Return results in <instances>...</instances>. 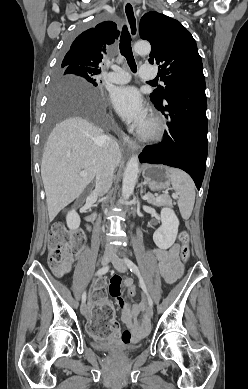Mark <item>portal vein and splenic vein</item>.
<instances>
[{"mask_svg":"<svg viewBox=\"0 0 248 389\" xmlns=\"http://www.w3.org/2000/svg\"><path fill=\"white\" fill-rule=\"evenodd\" d=\"M86 175H87V172H86V171H81V172H80V176H86ZM172 196H173V197H176L175 194H173ZM145 198L148 199L149 197H145ZM161 198H162V195L156 197L157 200H160Z\"/></svg>","mask_w":248,"mask_h":389,"instance_id":"obj_1","label":"portal vein and splenic vein"}]
</instances>
